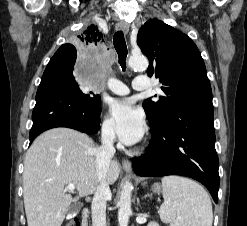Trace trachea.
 Segmentation results:
<instances>
[{"label":"trachea","instance_id":"obj_1","mask_svg":"<svg viewBox=\"0 0 247 226\" xmlns=\"http://www.w3.org/2000/svg\"><path fill=\"white\" fill-rule=\"evenodd\" d=\"M113 44L119 56V63L122 67V70L125 71L126 70V57H127L128 51H127L124 34L122 31H117L114 34Z\"/></svg>","mask_w":247,"mask_h":226}]
</instances>
